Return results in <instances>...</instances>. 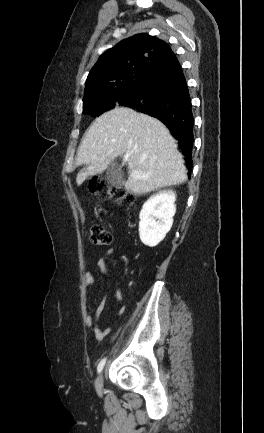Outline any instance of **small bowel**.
I'll list each match as a JSON object with an SVG mask.
<instances>
[{"label": "small bowel", "instance_id": "small-bowel-1", "mask_svg": "<svg viewBox=\"0 0 264 433\" xmlns=\"http://www.w3.org/2000/svg\"><path fill=\"white\" fill-rule=\"evenodd\" d=\"M114 253H115V249L114 248H110L107 251H105L100 256V258L98 259V262H97L98 266L101 267V268H104L106 259H108L112 255H114ZM84 282H85L86 285H92L94 283V276H93V274L90 271H87L85 273V275H84ZM115 296H116L117 301H119V302L122 301L123 296H122V292L119 289V287L116 289ZM104 307H105V299H104V297H102L101 300H100V302H99V304H98V306H97L95 314L94 315H88L87 318H86L87 324L89 326H94V335H95L96 340H98V341H102L111 332V328H109V327H101L97 323L99 316L101 315V313L104 310ZM123 312H124L123 308H120L118 310V314L119 315L123 314Z\"/></svg>", "mask_w": 264, "mask_h": 433}]
</instances>
